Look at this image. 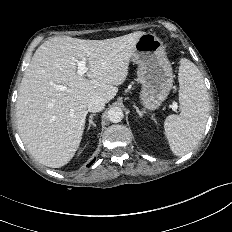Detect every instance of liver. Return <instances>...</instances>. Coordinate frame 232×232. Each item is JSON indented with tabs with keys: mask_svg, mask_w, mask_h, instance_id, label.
I'll use <instances>...</instances> for the list:
<instances>
[{
	"mask_svg": "<svg viewBox=\"0 0 232 232\" xmlns=\"http://www.w3.org/2000/svg\"><path fill=\"white\" fill-rule=\"evenodd\" d=\"M144 34L137 31L105 40L54 37L38 47L16 103L19 135L38 162L59 168L73 158L85 129L88 102L115 97ZM83 59L88 64L87 78L77 73V61ZM59 85L65 89H58Z\"/></svg>",
	"mask_w": 232,
	"mask_h": 232,
	"instance_id": "obj_1",
	"label": "liver"
}]
</instances>
